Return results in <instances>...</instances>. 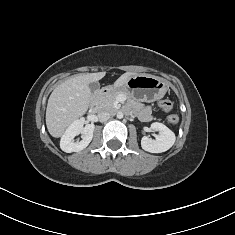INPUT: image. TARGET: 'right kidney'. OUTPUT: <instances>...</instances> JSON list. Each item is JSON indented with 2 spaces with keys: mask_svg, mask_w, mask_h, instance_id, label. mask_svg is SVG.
<instances>
[{
  "mask_svg": "<svg viewBox=\"0 0 235 235\" xmlns=\"http://www.w3.org/2000/svg\"><path fill=\"white\" fill-rule=\"evenodd\" d=\"M95 126L94 124H87L83 127L81 120H76L68 127L60 141V147L64 152H79L85 149L93 138ZM83 134L82 140L74 142L75 136Z\"/></svg>",
  "mask_w": 235,
  "mask_h": 235,
  "instance_id": "ca27d5eb",
  "label": "right kidney"
}]
</instances>
